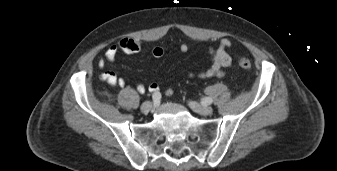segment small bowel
<instances>
[{"label": "small bowel", "instance_id": "1", "mask_svg": "<svg viewBox=\"0 0 337 171\" xmlns=\"http://www.w3.org/2000/svg\"><path fill=\"white\" fill-rule=\"evenodd\" d=\"M232 47V41L229 39H222L218 47H208V54L210 56V65L207 69L199 73H189L188 76L199 79H209L213 77H222L224 75V69L233 66L232 57L230 56L228 50ZM141 49V43L137 39L132 38H122L117 44L108 47L104 53V57L98 61L99 68L102 69L99 78L102 81L107 82L113 87H126V81L123 78L118 77L114 72L105 70L107 62H113L119 51L127 54H133L139 52ZM179 51L181 53H186L188 51V46L184 43L179 45ZM152 54L156 58H160L164 54V49L162 47H154ZM145 86L142 84L137 85V91L139 93L145 92ZM148 89L156 93L159 91V85L156 82H151Z\"/></svg>", "mask_w": 337, "mask_h": 171}]
</instances>
